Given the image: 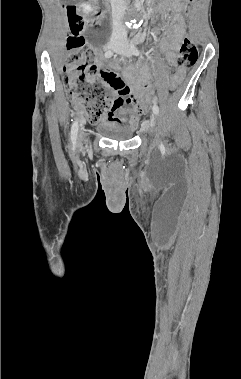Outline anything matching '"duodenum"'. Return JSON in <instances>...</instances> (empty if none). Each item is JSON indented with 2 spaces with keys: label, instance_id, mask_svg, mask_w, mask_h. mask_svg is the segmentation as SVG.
<instances>
[{
  "label": "duodenum",
  "instance_id": "1",
  "mask_svg": "<svg viewBox=\"0 0 241 379\" xmlns=\"http://www.w3.org/2000/svg\"><path fill=\"white\" fill-rule=\"evenodd\" d=\"M109 0H102L103 4L107 5Z\"/></svg>",
  "mask_w": 241,
  "mask_h": 379
}]
</instances>
